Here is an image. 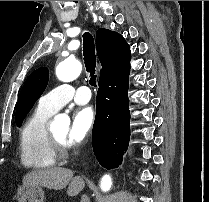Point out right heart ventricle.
Masks as SVG:
<instances>
[{
  "label": "right heart ventricle",
  "mask_w": 209,
  "mask_h": 202,
  "mask_svg": "<svg viewBox=\"0 0 209 202\" xmlns=\"http://www.w3.org/2000/svg\"><path fill=\"white\" fill-rule=\"evenodd\" d=\"M52 112L37 107L25 120L20 131L19 153L24 166L45 169L55 165L54 150L46 124Z\"/></svg>",
  "instance_id": "e07e8e85"
}]
</instances>
